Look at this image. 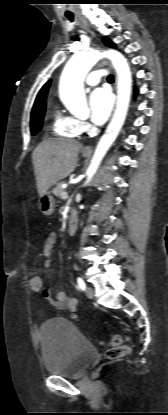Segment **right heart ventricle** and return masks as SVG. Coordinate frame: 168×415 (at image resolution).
<instances>
[{
    "label": "right heart ventricle",
    "mask_w": 168,
    "mask_h": 415,
    "mask_svg": "<svg viewBox=\"0 0 168 415\" xmlns=\"http://www.w3.org/2000/svg\"><path fill=\"white\" fill-rule=\"evenodd\" d=\"M52 131L56 136L66 138H77L81 133L79 121L60 110H56L53 115Z\"/></svg>",
    "instance_id": "e07e8e85"
}]
</instances>
